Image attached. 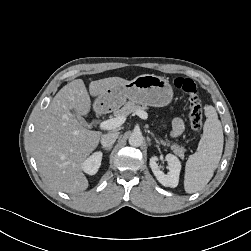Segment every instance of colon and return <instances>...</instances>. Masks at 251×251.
Instances as JSON below:
<instances>
[{
    "label": "colon",
    "instance_id": "colon-1",
    "mask_svg": "<svg viewBox=\"0 0 251 251\" xmlns=\"http://www.w3.org/2000/svg\"><path fill=\"white\" fill-rule=\"evenodd\" d=\"M174 86L188 95L191 127L200 132L203 123V108L196 91L195 82L189 78L178 77L174 80Z\"/></svg>",
    "mask_w": 251,
    "mask_h": 251
}]
</instances>
